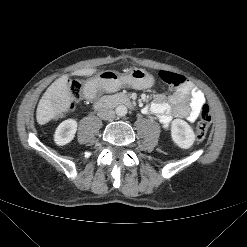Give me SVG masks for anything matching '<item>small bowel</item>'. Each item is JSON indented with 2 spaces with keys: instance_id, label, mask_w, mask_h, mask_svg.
Wrapping results in <instances>:
<instances>
[{
  "instance_id": "small-bowel-1",
  "label": "small bowel",
  "mask_w": 247,
  "mask_h": 247,
  "mask_svg": "<svg viewBox=\"0 0 247 247\" xmlns=\"http://www.w3.org/2000/svg\"><path fill=\"white\" fill-rule=\"evenodd\" d=\"M92 95L91 88H88L86 96L91 98ZM205 101L203 92L187 82L168 98L163 94L155 95L153 102L144 110L145 113L156 116L160 124L168 129L174 118H185L189 122H195Z\"/></svg>"
}]
</instances>
